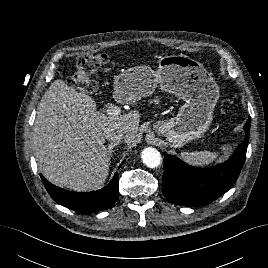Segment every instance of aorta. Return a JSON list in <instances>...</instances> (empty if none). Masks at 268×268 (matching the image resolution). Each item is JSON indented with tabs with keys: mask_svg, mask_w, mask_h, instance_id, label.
Instances as JSON below:
<instances>
[{
	"mask_svg": "<svg viewBox=\"0 0 268 268\" xmlns=\"http://www.w3.org/2000/svg\"><path fill=\"white\" fill-rule=\"evenodd\" d=\"M141 158L143 163L149 168H156L161 164V154L153 147L143 149Z\"/></svg>",
	"mask_w": 268,
	"mask_h": 268,
	"instance_id": "1",
	"label": "aorta"
}]
</instances>
